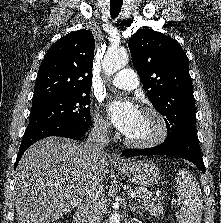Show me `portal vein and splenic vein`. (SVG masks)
Returning <instances> with one entry per match:
<instances>
[{"label":"portal vein and splenic vein","instance_id":"18ae733b","mask_svg":"<svg viewBox=\"0 0 221 223\" xmlns=\"http://www.w3.org/2000/svg\"><path fill=\"white\" fill-rule=\"evenodd\" d=\"M142 195H150V193L149 192H147V193H141ZM131 195H133V196H140V193H138V192H131Z\"/></svg>","mask_w":221,"mask_h":223}]
</instances>
